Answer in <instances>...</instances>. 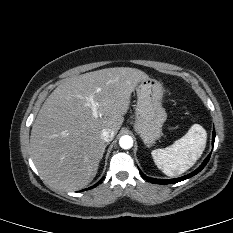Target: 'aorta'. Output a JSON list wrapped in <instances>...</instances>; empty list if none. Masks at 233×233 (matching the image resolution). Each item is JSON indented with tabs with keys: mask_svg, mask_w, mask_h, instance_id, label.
<instances>
[{
	"mask_svg": "<svg viewBox=\"0 0 233 233\" xmlns=\"http://www.w3.org/2000/svg\"><path fill=\"white\" fill-rule=\"evenodd\" d=\"M119 145L123 149H130L133 146V139L129 135H124L119 140Z\"/></svg>",
	"mask_w": 233,
	"mask_h": 233,
	"instance_id": "1",
	"label": "aorta"
}]
</instances>
